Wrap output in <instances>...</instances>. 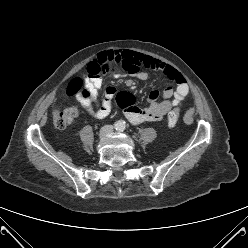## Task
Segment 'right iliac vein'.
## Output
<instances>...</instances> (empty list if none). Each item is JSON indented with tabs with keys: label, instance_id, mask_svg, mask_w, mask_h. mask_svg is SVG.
<instances>
[{
	"label": "right iliac vein",
	"instance_id": "right-iliac-vein-1",
	"mask_svg": "<svg viewBox=\"0 0 248 248\" xmlns=\"http://www.w3.org/2000/svg\"><path fill=\"white\" fill-rule=\"evenodd\" d=\"M108 130L106 128L102 129L99 134V140L103 141L107 136Z\"/></svg>",
	"mask_w": 248,
	"mask_h": 248
}]
</instances>
